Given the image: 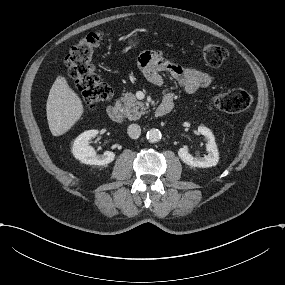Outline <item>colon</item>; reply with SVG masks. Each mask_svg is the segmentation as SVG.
Here are the masks:
<instances>
[{
	"mask_svg": "<svg viewBox=\"0 0 285 285\" xmlns=\"http://www.w3.org/2000/svg\"><path fill=\"white\" fill-rule=\"evenodd\" d=\"M101 39L100 32L87 34L70 49L65 58L71 77L91 109H95L99 103L108 100L112 95V89L100 79L92 62L94 51ZM202 54L206 63L212 67L220 66L227 58V50L216 44L204 45ZM211 102L221 111L239 113L251 106L253 97L243 89H232L215 94Z\"/></svg>",
	"mask_w": 285,
	"mask_h": 285,
	"instance_id": "colon-1",
	"label": "colon"
}]
</instances>
